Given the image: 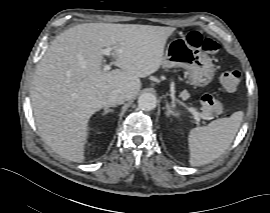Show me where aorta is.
<instances>
[{
    "instance_id": "aorta-1",
    "label": "aorta",
    "mask_w": 270,
    "mask_h": 213,
    "mask_svg": "<svg viewBox=\"0 0 270 213\" xmlns=\"http://www.w3.org/2000/svg\"><path fill=\"white\" fill-rule=\"evenodd\" d=\"M157 99L152 93H143L138 98V106L142 110L151 111L156 107Z\"/></svg>"
}]
</instances>
